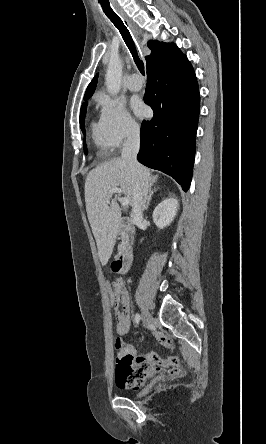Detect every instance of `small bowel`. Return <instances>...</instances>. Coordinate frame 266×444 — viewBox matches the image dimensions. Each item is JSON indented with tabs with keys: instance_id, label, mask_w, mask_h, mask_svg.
<instances>
[{
	"instance_id": "c3829d8e",
	"label": "small bowel",
	"mask_w": 266,
	"mask_h": 444,
	"mask_svg": "<svg viewBox=\"0 0 266 444\" xmlns=\"http://www.w3.org/2000/svg\"><path fill=\"white\" fill-rule=\"evenodd\" d=\"M119 304L115 310L116 330L120 336H123L131 328L130 296L125 289L121 293ZM157 339L163 346H171V341L167 337L158 336ZM115 347L117 350L115 382L119 388L138 389L149 378L159 373L169 376H179L183 373L177 356L161 358L155 353L138 356L134 347L121 338L116 339Z\"/></svg>"
}]
</instances>
